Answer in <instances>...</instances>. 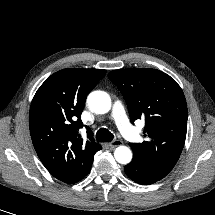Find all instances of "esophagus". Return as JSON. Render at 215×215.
<instances>
[{"instance_id":"1","label":"esophagus","mask_w":215,"mask_h":215,"mask_svg":"<svg viewBox=\"0 0 215 215\" xmlns=\"http://www.w3.org/2000/svg\"><path fill=\"white\" fill-rule=\"evenodd\" d=\"M120 145H122V141L121 140H114V141H112V142H110V143L107 144V146L109 148H114V147H117V146H120Z\"/></svg>"}]
</instances>
